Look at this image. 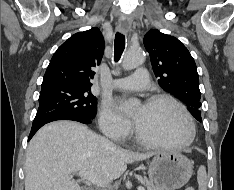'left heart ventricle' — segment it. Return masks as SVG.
Segmentation results:
<instances>
[{
    "label": "left heart ventricle",
    "mask_w": 234,
    "mask_h": 190,
    "mask_svg": "<svg viewBox=\"0 0 234 190\" xmlns=\"http://www.w3.org/2000/svg\"><path fill=\"white\" fill-rule=\"evenodd\" d=\"M134 120L141 132L159 142H181L189 134L183 113L172 103L160 101L138 107Z\"/></svg>",
    "instance_id": "1"
}]
</instances>
